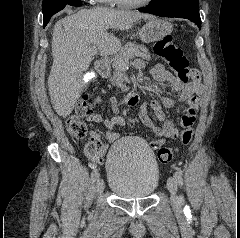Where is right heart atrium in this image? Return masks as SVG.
<instances>
[{"mask_svg": "<svg viewBox=\"0 0 240 238\" xmlns=\"http://www.w3.org/2000/svg\"><path fill=\"white\" fill-rule=\"evenodd\" d=\"M86 1H89L90 3H93V4H99V3H108L111 0H86Z\"/></svg>", "mask_w": 240, "mask_h": 238, "instance_id": "d8ad5b80", "label": "right heart atrium"}]
</instances>
